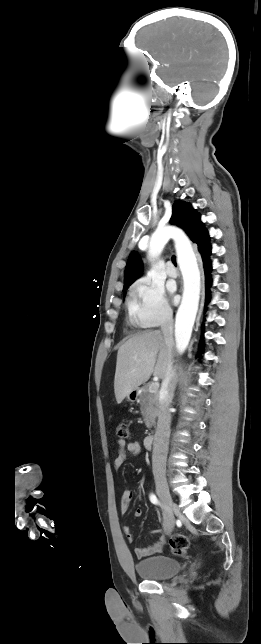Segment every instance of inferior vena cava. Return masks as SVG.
Instances as JSON below:
<instances>
[{"instance_id": "inferior-vena-cava-1", "label": "inferior vena cava", "mask_w": 261, "mask_h": 644, "mask_svg": "<svg viewBox=\"0 0 261 644\" xmlns=\"http://www.w3.org/2000/svg\"><path fill=\"white\" fill-rule=\"evenodd\" d=\"M173 314L171 311H165L161 324V330L165 339V343L171 349L173 346ZM176 386V370L173 367L172 356L170 355L167 371L162 382L160 391L159 411L157 428L154 435L153 453H152V468L154 474H165L166 459L168 453L169 437H170V404L173 399L174 390Z\"/></svg>"}]
</instances>
